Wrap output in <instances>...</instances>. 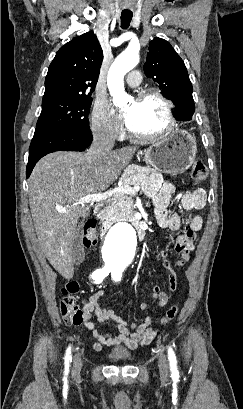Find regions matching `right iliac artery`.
<instances>
[{
  "label": "right iliac artery",
  "instance_id": "82829eb1",
  "mask_svg": "<svg viewBox=\"0 0 243 409\" xmlns=\"http://www.w3.org/2000/svg\"><path fill=\"white\" fill-rule=\"evenodd\" d=\"M109 272H110V269L105 268V267L102 268V269H97L92 273L91 278L94 280L95 283H101L103 281V279L106 276H108ZM69 362H71V349H70V347L67 349L66 356H65V374H68Z\"/></svg>",
  "mask_w": 243,
  "mask_h": 409
}]
</instances>
